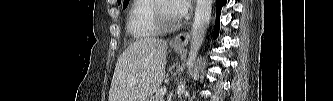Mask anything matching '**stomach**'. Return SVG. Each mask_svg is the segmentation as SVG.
I'll return each mask as SVG.
<instances>
[{
    "mask_svg": "<svg viewBox=\"0 0 333 101\" xmlns=\"http://www.w3.org/2000/svg\"><path fill=\"white\" fill-rule=\"evenodd\" d=\"M174 50L177 52V53H181L183 51V47H176L174 46ZM147 101H151L149 99H147Z\"/></svg>",
    "mask_w": 333,
    "mask_h": 101,
    "instance_id": "stomach-1",
    "label": "stomach"
}]
</instances>
